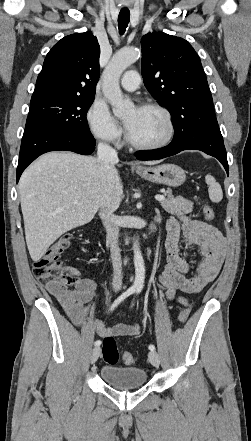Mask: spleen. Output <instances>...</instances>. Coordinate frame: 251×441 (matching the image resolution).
Listing matches in <instances>:
<instances>
[{
    "instance_id": "obj_1",
    "label": "spleen",
    "mask_w": 251,
    "mask_h": 441,
    "mask_svg": "<svg viewBox=\"0 0 251 441\" xmlns=\"http://www.w3.org/2000/svg\"><path fill=\"white\" fill-rule=\"evenodd\" d=\"M205 181L209 186L208 192L210 200L214 203L220 202L223 198V192L220 184L216 182L215 178L212 175L209 174L205 176Z\"/></svg>"
}]
</instances>
